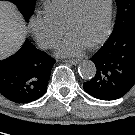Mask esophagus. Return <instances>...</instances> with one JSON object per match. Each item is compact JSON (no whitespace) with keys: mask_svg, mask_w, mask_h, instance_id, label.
<instances>
[{"mask_svg":"<svg viewBox=\"0 0 135 135\" xmlns=\"http://www.w3.org/2000/svg\"><path fill=\"white\" fill-rule=\"evenodd\" d=\"M65 63H69V64H72V65H77L80 60H77V59H73V60H64Z\"/></svg>","mask_w":135,"mask_h":135,"instance_id":"34e87169","label":"esophagus"}]
</instances>
